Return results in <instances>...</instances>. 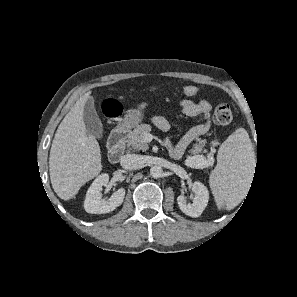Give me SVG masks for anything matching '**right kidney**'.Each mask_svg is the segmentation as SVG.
<instances>
[{
	"instance_id": "ca27d5eb",
	"label": "right kidney",
	"mask_w": 297,
	"mask_h": 297,
	"mask_svg": "<svg viewBox=\"0 0 297 297\" xmlns=\"http://www.w3.org/2000/svg\"><path fill=\"white\" fill-rule=\"evenodd\" d=\"M109 182L108 174L99 175L89 187L84 201V209L91 214H105L120 206L125 197V189L120 188L108 200L102 199L101 189Z\"/></svg>"
}]
</instances>
